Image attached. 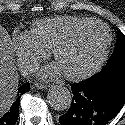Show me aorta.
Returning <instances> with one entry per match:
<instances>
[{"label":"aorta","mask_w":125,"mask_h":125,"mask_svg":"<svg viewBox=\"0 0 125 125\" xmlns=\"http://www.w3.org/2000/svg\"><path fill=\"white\" fill-rule=\"evenodd\" d=\"M72 97L71 91L64 86H54L47 94L49 105L57 111L68 109L71 106Z\"/></svg>","instance_id":"762f6f07"}]
</instances>
